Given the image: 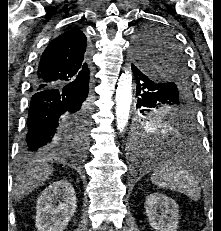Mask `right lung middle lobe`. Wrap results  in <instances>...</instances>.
I'll list each match as a JSON object with an SVG mask.
<instances>
[{"mask_svg": "<svg viewBox=\"0 0 221 231\" xmlns=\"http://www.w3.org/2000/svg\"><path fill=\"white\" fill-rule=\"evenodd\" d=\"M90 107L80 111L69 123L72 134L85 145L88 141Z\"/></svg>", "mask_w": 221, "mask_h": 231, "instance_id": "right-lung-middle-lobe-1", "label": "right lung middle lobe"}]
</instances>
